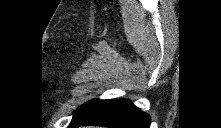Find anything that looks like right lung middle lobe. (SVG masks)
Returning a JSON list of instances; mask_svg holds the SVG:
<instances>
[{
    "mask_svg": "<svg viewBox=\"0 0 221 128\" xmlns=\"http://www.w3.org/2000/svg\"><path fill=\"white\" fill-rule=\"evenodd\" d=\"M98 101H99V99H95V100H93V101H90V102H88V103H85L84 105L80 106V107L78 108V110H80V109H82V108H85V107H87V106H89V105H91V104H93V103L98 102Z\"/></svg>",
    "mask_w": 221,
    "mask_h": 128,
    "instance_id": "obj_1",
    "label": "right lung middle lobe"
}]
</instances>
